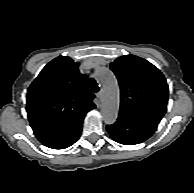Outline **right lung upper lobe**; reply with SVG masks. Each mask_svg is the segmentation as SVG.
Here are the masks:
<instances>
[{"label":"right lung upper lobe","instance_id":"obj_1","mask_svg":"<svg viewBox=\"0 0 194 193\" xmlns=\"http://www.w3.org/2000/svg\"><path fill=\"white\" fill-rule=\"evenodd\" d=\"M78 66L70 57L59 56L28 88L26 111L36 137L62 130L96 107L86 87L87 76Z\"/></svg>","mask_w":194,"mask_h":193}]
</instances>
